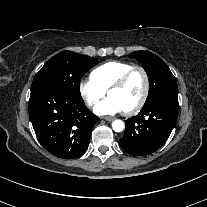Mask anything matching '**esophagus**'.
Returning <instances> with one entry per match:
<instances>
[{"mask_svg":"<svg viewBox=\"0 0 207 207\" xmlns=\"http://www.w3.org/2000/svg\"><path fill=\"white\" fill-rule=\"evenodd\" d=\"M102 119H104L106 121H113L115 118L111 117V116H104V117H102Z\"/></svg>","mask_w":207,"mask_h":207,"instance_id":"esophagus-1","label":"esophagus"}]
</instances>
